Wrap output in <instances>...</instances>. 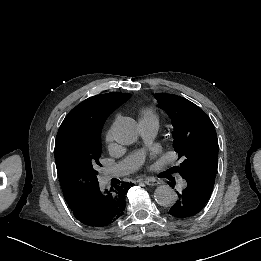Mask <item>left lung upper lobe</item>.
I'll return each mask as SVG.
<instances>
[{
  "mask_svg": "<svg viewBox=\"0 0 261 261\" xmlns=\"http://www.w3.org/2000/svg\"><path fill=\"white\" fill-rule=\"evenodd\" d=\"M159 107L174 127V149L184 161L176 171L214 184L218 166V139L210 118L191 101L173 94H155Z\"/></svg>",
  "mask_w": 261,
  "mask_h": 261,
  "instance_id": "5c2ea615",
  "label": "left lung upper lobe"
}]
</instances>
